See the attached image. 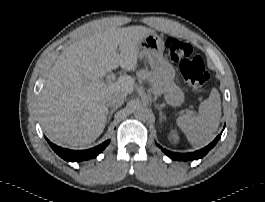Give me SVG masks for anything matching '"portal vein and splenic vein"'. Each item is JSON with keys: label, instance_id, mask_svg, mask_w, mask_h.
<instances>
[{"label": "portal vein and splenic vein", "instance_id": "obj_1", "mask_svg": "<svg viewBox=\"0 0 265 202\" xmlns=\"http://www.w3.org/2000/svg\"><path fill=\"white\" fill-rule=\"evenodd\" d=\"M116 78V75L115 74H110V75H107L106 77V82L107 83H112Z\"/></svg>", "mask_w": 265, "mask_h": 202}]
</instances>
